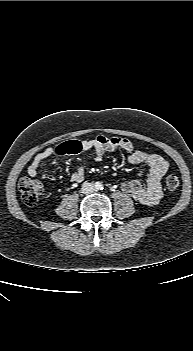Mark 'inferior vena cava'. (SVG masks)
Wrapping results in <instances>:
<instances>
[{"mask_svg": "<svg viewBox=\"0 0 193 351\" xmlns=\"http://www.w3.org/2000/svg\"><path fill=\"white\" fill-rule=\"evenodd\" d=\"M95 191V187L92 183L89 182H84L82 184L81 192L83 194H89Z\"/></svg>", "mask_w": 193, "mask_h": 351, "instance_id": "obj_1", "label": "inferior vena cava"}]
</instances>
